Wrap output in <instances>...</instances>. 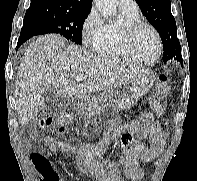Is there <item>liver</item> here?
<instances>
[{"instance_id":"6515ba94","label":"liver","mask_w":197,"mask_h":181,"mask_svg":"<svg viewBox=\"0 0 197 181\" xmlns=\"http://www.w3.org/2000/svg\"><path fill=\"white\" fill-rule=\"evenodd\" d=\"M151 70L107 55H97L76 45L66 46L60 35L46 34L24 53L15 83L18 120L27 125L43 109L45 90L53 87L62 97L90 94L131 84ZM86 76L76 84L72 78Z\"/></svg>"}]
</instances>
